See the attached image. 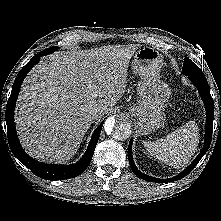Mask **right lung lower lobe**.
Returning a JSON list of instances; mask_svg holds the SVG:
<instances>
[{
	"mask_svg": "<svg viewBox=\"0 0 221 221\" xmlns=\"http://www.w3.org/2000/svg\"><path fill=\"white\" fill-rule=\"evenodd\" d=\"M46 55L45 51L40 52L35 55L18 73L13 87L10 98L6 106V124H7V136L8 143L11 148L14 156L23 163L27 168H29L35 175L46 180H64L76 177L82 174L85 169L88 167L93 154L95 147L97 145L100 133L103 127L101 123L96 130L94 131L89 146L83 155V157L73 165H52L40 163L30 156H28L22 149L14 124V109L19 94L20 86L30 71V69L40 60L42 56Z\"/></svg>",
	"mask_w": 221,
	"mask_h": 221,
	"instance_id": "right-lung-lower-lobe-1",
	"label": "right lung lower lobe"
}]
</instances>
